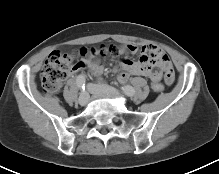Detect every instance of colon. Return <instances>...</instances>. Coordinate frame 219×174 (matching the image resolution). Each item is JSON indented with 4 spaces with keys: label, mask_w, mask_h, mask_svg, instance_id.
I'll list each match as a JSON object with an SVG mask.
<instances>
[{
    "label": "colon",
    "mask_w": 219,
    "mask_h": 174,
    "mask_svg": "<svg viewBox=\"0 0 219 174\" xmlns=\"http://www.w3.org/2000/svg\"><path fill=\"white\" fill-rule=\"evenodd\" d=\"M123 50L115 45H102L98 48H82L71 52L63 53L59 51L52 52L41 71L42 88L47 94L57 92L69 74L76 70L80 62H76L79 58H90L96 56H119L123 54ZM164 86L160 82L152 84L154 93L159 94L163 91Z\"/></svg>",
    "instance_id": "1"
}]
</instances>
